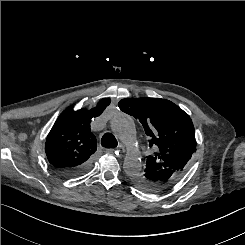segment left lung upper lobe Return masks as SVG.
<instances>
[{"label": "left lung upper lobe", "instance_id": "5c2ea615", "mask_svg": "<svg viewBox=\"0 0 245 245\" xmlns=\"http://www.w3.org/2000/svg\"><path fill=\"white\" fill-rule=\"evenodd\" d=\"M119 108L139 119L155 153L147 157L143 173L133 178L141 190L152 192L153 176L172 171L181 176L196 151L195 131L189 115L161 98H125Z\"/></svg>", "mask_w": 245, "mask_h": 245}]
</instances>
